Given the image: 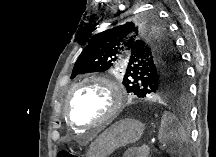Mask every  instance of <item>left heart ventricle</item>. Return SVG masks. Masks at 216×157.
<instances>
[{"instance_id":"left-heart-ventricle-1","label":"left heart ventricle","mask_w":216,"mask_h":157,"mask_svg":"<svg viewBox=\"0 0 216 157\" xmlns=\"http://www.w3.org/2000/svg\"><path fill=\"white\" fill-rule=\"evenodd\" d=\"M109 106L108 92L99 85L89 84L73 92L70 111L77 122L90 123L100 118Z\"/></svg>"}]
</instances>
